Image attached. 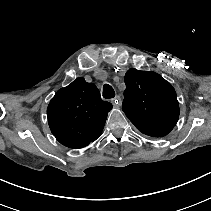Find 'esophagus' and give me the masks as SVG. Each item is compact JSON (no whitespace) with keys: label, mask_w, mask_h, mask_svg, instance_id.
<instances>
[{"label":"esophagus","mask_w":211,"mask_h":211,"mask_svg":"<svg viewBox=\"0 0 211 211\" xmlns=\"http://www.w3.org/2000/svg\"><path fill=\"white\" fill-rule=\"evenodd\" d=\"M111 102L115 107H121V105H122V100H121L120 96H116L114 99H112Z\"/></svg>","instance_id":"obj_1"}]
</instances>
